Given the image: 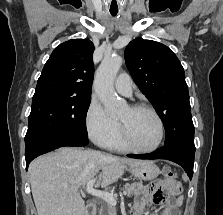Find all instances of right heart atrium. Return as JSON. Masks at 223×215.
<instances>
[{
	"label": "right heart atrium",
	"mask_w": 223,
	"mask_h": 215,
	"mask_svg": "<svg viewBox=\"0 0 223 215\" xmlns=\"http://www.w3.org/2000/svg\"><path fill=\"white\" fill-rule=\"evenodd\" d=\"M85 125L91 138L104 145L119 133V123L111 118L97 100H91L85 114Z\"/></svg>",
	"instance_id": "right-heart-atrium-1"
}]
</instances>
